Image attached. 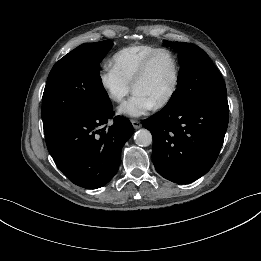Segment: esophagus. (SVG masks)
Returning a JSON list of instances; mask_svg holds the SVG:
<instances>
[{
  "mask_svg": "<svg viewBox=\"0 0 261 261\" xmlns=\"http://www.w3.org/2000/svg\"><path fill=\"white\" fill-rule=\"evenodd\" d=\"M131 123L134 129H139L142 126L141 122L138 120H131Z\"/></svg>",
  "mask_w": 261,
  "mask_h": 261,
  "instance_id": "34e87169",
  "label": "esophagus"
}]
</instances>
